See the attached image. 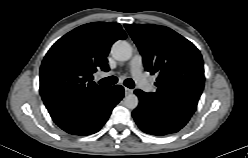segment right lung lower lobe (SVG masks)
I'll use <instances>...</instances> for the list:
<instances>
[{
    "instance_id": "right-lung-lower-lobe-1",
    "label": "right lung lower lobe",
    "mask_w": 248,
    "mask_h": 158,
    "mask_svg": "<svg viewBox=\"0 0 248 158\" xmlns=\"http://www.w3.org/2000/svg\"><path fill=\"white\" fill-rule=\"evenodd\" d=\"M123 96L122 86L106 87L86 101L68 109L52 112L50 115L53 121L67 133L93 134L105 124L112 109Z\"/></svg>"
}]
</instances>
